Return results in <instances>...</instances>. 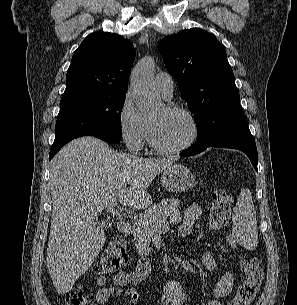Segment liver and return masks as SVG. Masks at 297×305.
<instances>
[{"instance_id":"1","label":"liver","mask_w":297,"mask_h":305,"mask_svg":"<svg viewBox=\"0 0 297 305\" xmlns=\"http://www.w3.org/2000/svg\"><path fill=\"white\" fill-rule=\"evenodd\" d=\"M174 158H143L112 150L95 137L77 138L52 159V219L46 263L59 294L70 291L102 250L106 236L98 215L117 201L142 209L147 189Z\"/></svg>"}]
</instances>
